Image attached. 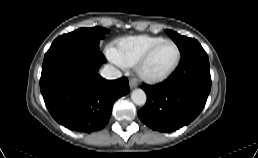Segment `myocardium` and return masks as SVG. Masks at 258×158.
Masks as SVG:
<instances>
[{"label":"myocardium","instance_id":"1","mask_svg":"<svg viewBox=\"0 0 258 158\" xmlns=\"http://www.w3.org/2000/svg\"><path fill=\"white\" fill-rule=\"evenodd\" d=\"M164 43H171L174 45V47L176 49V53H177L176 59H175L174 63L172 64V66L170 68H168L165 72L158 74V75L150 74L146 71L145 66H146L148 60L150 59V57L156 51V49ZM180 61H181V52H180L178 45L171 39H163L160 42H158L157 44H155L154 46H152L144 54V56L140 59V61L137 63V67H136L137 74L139 75V77L141 79H143L146 82L160 83V82H163L166 79H168L175 72V70L178 68V66L180 64Z\"/></svg>","mask_w":258,"mask_h":158}]
</instances>
